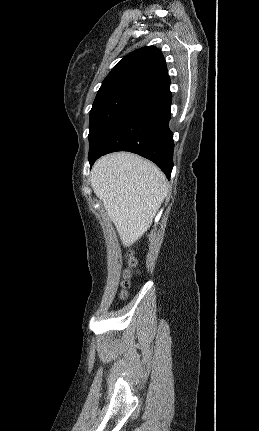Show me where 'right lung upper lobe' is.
I'll return each instance as SVG.
<instances>
[{"label":"right lung upper lobe","instance_id":"cb5924a9","mask_svg":"<svg viewBox=\"0 0 259 431\" xmlns=\"http://www.w3.org/2000/svg\"><path fill=\"white\" fill-rule=\"evenodd\" d=\"M137 81L152 91L170 84L165 59L154 46H145L125 56L104 79L98 92Z\"/></svg>","mask_w":259,"mask_h":431}]
</instances>
